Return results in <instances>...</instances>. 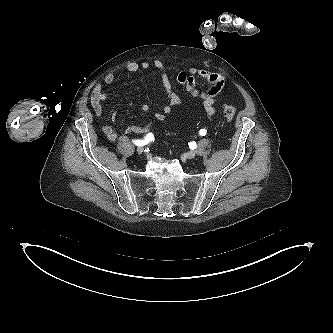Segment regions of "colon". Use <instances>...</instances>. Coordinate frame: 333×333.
I'll list each match as a JSON object with an SVG mask.
<instances>
[{"label":"colon","mask_w":333,"mask_h":333,"mask_svg":"<svg viewBox=\"0 0 333 333\" xmlns=\"http://www.w3.org/2000/svg\"><path fill=\"white\" fill-rule=\"evenodd\" d=\"M236 114V108L233 105L227 104L223 108V116L226 120H231Z\"/></svg>","instance_id":"5ec220e1"}]
</instances>
